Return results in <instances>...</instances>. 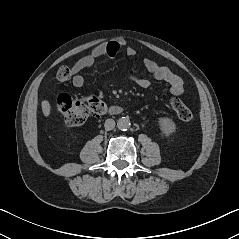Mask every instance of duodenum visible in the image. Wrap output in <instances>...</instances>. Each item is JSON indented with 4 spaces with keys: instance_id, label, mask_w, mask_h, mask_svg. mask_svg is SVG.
<instances>
[{
    "instance_id": "duodenum-1",
    "label": "duodenum",
    "mask_w": 239,
    "mask_h": 239,
    "mask_svg": "<svg viewBox=\"0 0 239 239\" xmlns=\"http://www.w3.org/2000/svg\"><path fill=\"white\" fill-rule=\"evenodd\" d=\"M107 111L110 114H118L122 111V109L119 106H111V107L107 108Z\"/></svg>"
}]
</instances>
